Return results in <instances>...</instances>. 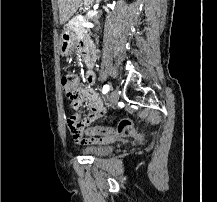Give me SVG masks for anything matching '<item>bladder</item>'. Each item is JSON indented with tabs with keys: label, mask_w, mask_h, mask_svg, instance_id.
I'll use <instances>...</instances> for the list:
<instances>
[{
	"label": "bladder",
	"mask_w": 217,
	"mask_h": 202,
	"mask_svg": "<svg viewBox=\"0 0 217 202\" xmlns=\"http://www.w3.org/2000/svg\"><path fill=\"white\" fill-rule=\"evenodd\" d=\"M113 149V145H108L106 143H98L92 147H87L85 151L90 153L91 156H108L109 152Z\"/></svg>",
	"instance_id": "bladder-1"
}]
</instances>
